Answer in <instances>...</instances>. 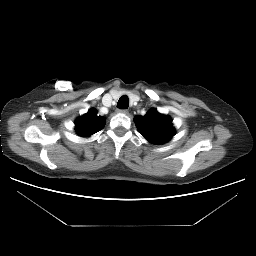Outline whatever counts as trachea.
I'll list each match as a JSON object with an SVG mask.
<instances>
[{
	"label": "trachea",
	"instance_id": "trachea-1",
	"mask_svg": "<svg viewBox=\"0 0 256 256\" xmlns=\"http://www.w3.org/2000/svg\"><path fill=\"white\" fill-rule=\"evenodd\" d=\"M117 107L119 109H127L129 107V98L126 95L121 96L117 102Z\"/></svg>",
	"mask_w": 256,
	"mask_h": 256
}]
</instances>
